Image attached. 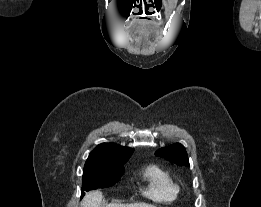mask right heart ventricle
<instances>
[{
	"mask_svg": "<svg viewBox=\"0 0 261 207\" xmlns=\"http://www.w3.org/2000/svg\"><path fill=\"white\" fill-rule=\"evenodd\" d=\"M148 186L144 191L146 197L157 202L174 201L181 190L180 184L173 174L159 165H150L144 170Z\"/></svg>",
	"mask_w": 261,
	"mask_h": 207,
	"instance_id": "obj_1",
	"label": "right heart ventricle"
}]
</instances>
